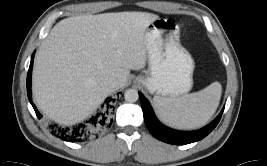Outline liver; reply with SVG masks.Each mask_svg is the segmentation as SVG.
Segmentation results:
<instances>
[{"instance_id": "6515ba94", "label": "liver", "mask_w": 267, "mask_h": 166, "mask_svg": "<svg viewBox=\"0 0 267 166\" xmlns=\"http://www.w3.org/2000/svg\"><path fill=\"white\" fill-rule=\"evenodd\" d=\"M159 16L117 12L70 17L58 22L42 42L32 75L34 99L52 120L65 125L89 116L123 87L130 70L147 61L146 31Z\"/></svg>"}]
</instances>
